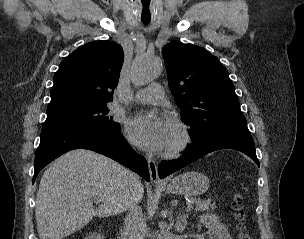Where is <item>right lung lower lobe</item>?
<instances>
[{
  "label": "right lung lower lobe",
  "instance_id": "right-lung-lower-lobe-1",
  "mask_svg": "<svg viewBox=\"0 0 304 239\" xmlns=\"http://www.w3.org/2000/svg\"><path fill=\"white\" fill-rule=\"evenodd\" d=\"M73 149H89L103 154L137 172L146 181L150 180L147 161L130 147L121 131L110 134L74 129L41 133L32 182L43 167Z\"/></svg>",
  "mask_w": 304,
  "mask_h": 239
}]
</instances>
